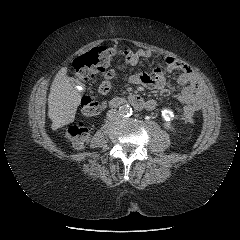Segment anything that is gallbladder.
I'll return each instance as SVG.
<instances>
[{
	"label": "gallbladder",
	"mask_w": 240,
	"mask_h": 240,
	"mask_svg": "<svg viewBox=\"0 0 240 240\" xmlns=\"http://www.w3.org/2000/svg\"><path fill=\"white\" fill-rule=\"evenodd\" d=\"M73 80H74V82L77 84V80L76 79H74V78H72Z\"/></svg>",
	"instance_id": "1"
}]
</instances>
